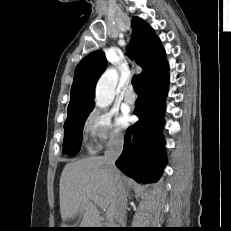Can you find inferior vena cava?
<instances>
[{
    "mask_svg": "<svg viewBox=\"0 0 231 231\" xmlns=\"http://www.w3.org/2000/svg\"><path fill=\"white\" fill-rule=\"evenodd\" d=\"M123 150V135L114 133L110 136L104 152V162L108 172L115 177V218L118 225L124 227L126 225V207L127 198L123 184L118 180L116 175L115 161Z\"/></svg>",
    "mask_w": 231,
    "mask_h": 231,
    "instance_id": "1",
    "label": "inferior vena cava"
}]
</instances>
